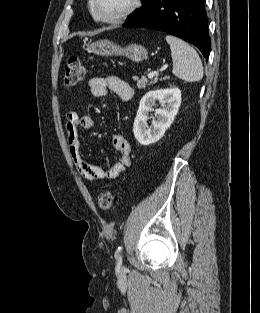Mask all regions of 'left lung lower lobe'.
I'll return each instance as SVG.
<instances>
[{
    "label": "left lung lower lobe",
    "mask_w": 260,
    "mask_h": 313,
    "mask_svg": "<svg viewBox=\"0 0 260 313\" xmlns=\"http://www.w3.org/2000/svg\"><path fill=\"white\" fill-rule=\"evenodd\" d=\"M123 26L170 33L194 44L206 59L209 57L205 0H150Z\"/></svg>",
    "instance_id": "0a47b994"
}]
</instances>
